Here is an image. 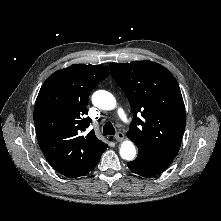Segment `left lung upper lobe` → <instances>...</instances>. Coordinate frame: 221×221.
Wrapping results in <instances>:
<instances>
[{
	"label": "left lung upper lobe",
	"mask_w": 221,
	"mask_h": 221,
	"mask_svg": "<svg viewBox=\"0 0 221 221\" xmlns=\"http://www.w3.org/2000/svg\"><path fill=\"white\" fill-rule=\"evenodd\" d=\"M109 69L128 97L134 115L127 136L139 150L175 158L181 146L186 117L174 76L162 65L148 60L111 63Z\"/></svg>",
	"instance_id": "left-lung-upper-lobe-1"
}]
</instances>
